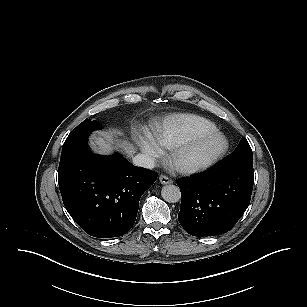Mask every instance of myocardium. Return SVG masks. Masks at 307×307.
<instances>
[{
	"label": "myocardium",
	"instance_id": "myocardium-1",
	"mask_svg": "<svg viewBox=\"0 0 307 307\" xmlns=\"http://www.w3.org/2000/svg\"><path fill=\"white\" fill-rule=\"evenodd\" d=\"M217 142L215 149L203 152V148L210 142ZM230 147L228 137L221 131L199 134L184 143L173 147L168 157L177 172L181 174H195L205 171L217 164Z\"/></svg>",
	"mask_w": 307,
	"mask_h": 307
}]
</instances>
